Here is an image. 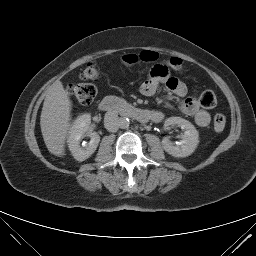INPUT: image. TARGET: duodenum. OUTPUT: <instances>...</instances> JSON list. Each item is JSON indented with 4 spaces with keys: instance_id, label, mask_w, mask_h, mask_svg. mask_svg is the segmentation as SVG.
<instances>
[{
    "instance_id": "duodenum-1",
    "label": "duodenum",
    "mask_w": 256,
    "mask_h": 256,
    "mask_svg": "<svg viewBox=\"0 0 256 256\" xmlns=\"http://www.w3.org/2000/svg\"><path fill=\"white\" fill-rule=\"evenodd\" d=\"M99 109L103 112H116L121 115L131 117L142 123L148 121H159L161 119L160 114L135 107L114 96L105 97L99 103Z\"/></svg>"
}]
</instances>
